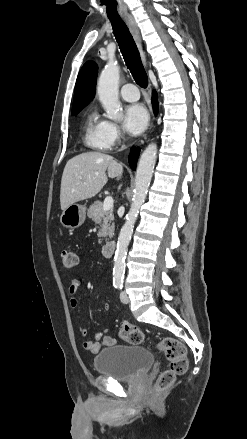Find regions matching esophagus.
<instances>
[{"label": "esophagus", "mask_w": 247, "mask_h": 439, "mask_svg": "<svg viewBox=\"0 0 247 439\" xmlns=\"http://www.w3.org/2000/svg\"><path fill=\"white\" fill-rule=\"evenodd\" d=\"M123 18H124V21L126 22L127 26L129 27V30H130L138 48H139V50H140L142 61H143L144 65H146V55L142 49V41H141L140 31L138 29V26H137L132 15H129V14L125 15ZM150 127H152V124Z\"/></svg>", "instance_id": "1"}]
</instances>
